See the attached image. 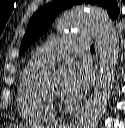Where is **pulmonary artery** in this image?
Masks as SVG:
<instances>
[{"label": "pulmonary artery", "instance_id": "e3ab8cb5", "mask_svg": "<svg viewBox=\"0 0 125 128\" xmlns=\"http://www.w3.org/2000/svg\"><path fill=\"white\" fill-rule=\"evenodd\" d=\"M90 36L79 34L61 38L53 44H49L37 49L31 57V61L40 66H49L70 54L89 48Z\"/></svg>", "mask_w": 125, "mask_h": 128}]
</instances>
